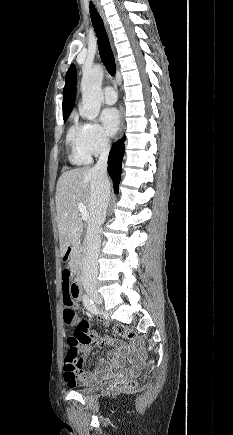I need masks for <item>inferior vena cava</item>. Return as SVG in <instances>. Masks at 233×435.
Returning a JSON list of instances; mask_svg holds the SVG:
<instances>
[{"label":"inferior vena cava","instance_id":"1","mask_svg":"<svg viewBox=\"0 0 233 435\" xmlns=\"http://www.w3.org/2000/svg\"><path fill=\"white\" fill-rule=\"evenodd\" d=\"M110 151L108 139H104L100 148V157L91 169V193L89 200L90 218L86 233V256L83 265L82 282L85 289L95 287L98 275V254L100 251V228L106 219L110 197V182L107 177V160Z\"/></svg>","mask_w":233,"mask_h":435}]
</instances>
